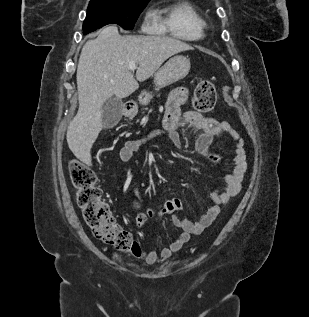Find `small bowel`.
<instances>
[{"label":"small bowel","mask_w":309,"mask_h":317,"mask_svg":"<svg viewBox=\"0 0 309 317\" xmlns=\"http://www.w3.org/2000/svg\"><path fill=\"white\" fill-rule=\"evenodd\" d=\"M187 98L188 91L186 88L181 87L173 90L166 103L162 127L151 131L143 138L127 141L119 153L121 161H130L133 154L143 144L162 136H165L175 147L181 148L182 140L178 129L181 125H184L186 129L197 131L193 139L196 151L207 157L214 164H220L222 161V157L213 151L214 142L224 135L228 136L234 145V168L230 173L225 174L224 186L209 195L211 206L195 222L185 220L177 215L182 204L176 198L167 200L160 208H150L147 212L137 214L136 221L140 227L147 222L148 217L159 218L169 215L172 222L182 229L169 246L164 247L160 252L149 251L147 253L145 260L148 264H157L167 260L173 253L180 250L192 235L200 234L206 229L218 216L221 206L239 192L247 167L244 141L239 133L226 121H218L195 111L181 114V106L186 102Z\"/></svg>","instance_id":"small-bowel-1"}]
</instances>
